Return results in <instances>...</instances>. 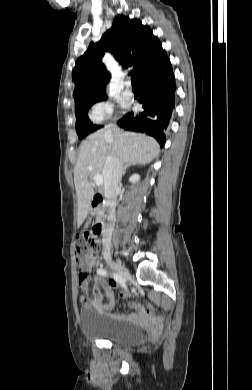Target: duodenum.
Instances as JSON below:
<instances>
[{
  "mask_svg": "<svg viewBox=\"0 0 252 390\" xmlns=\"http://www.w3.org/2000/svg\"><path fill=\"white\" fill-rule=\"evenodd\" d=\"M105 204V196L103 193L97 192L94 194L93 199H92V207L94 209L99 208L100 206ZM111 217V214H107L106 219H100L96 222L94 226V230L97 232L98 235H102L106 237V231L108 227V221Z\"/></svg>",
  "mask_w": 252,
  "mask_h": 390,
  "instance_id": "1",
  "label": "duodenum"
}]
</instances>
